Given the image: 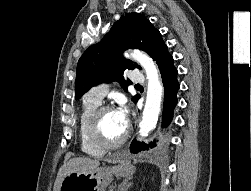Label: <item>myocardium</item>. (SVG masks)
Returning a JSON list of instances; mask_svg holds the SVG:
<instances>
[{"mask_svg": "<svg viewBox=\"0 0 251 191\" xmlns=\"http://www.w3.org/2000/svg\"><path fill=\"white\" fill-rule=\"evenodd\" d=\"M107 111H112L108 105H99L93 112L88 122L87 133L89 140L97 147L103 150H114L125 143L129 135L128 126L122 136L116 141H108L102 135L101 123L103 114Z\"/></svg>", "mask_w": 251, "mask_h": 191, "instance_id": "myocardium-1", "label": "myocardium"}]
</instances>
